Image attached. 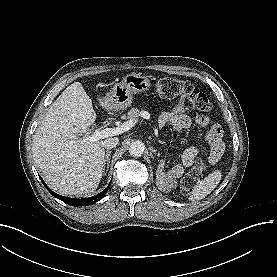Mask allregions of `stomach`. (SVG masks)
<instances>
[{
    "label": "stomach",
    "mask_w": 277,
    "mask_h": 277,
    "mask_svg": "<svg viewBox=\"0 0 277 277\" xmlns=\"http://www.w3.org/2000/svg\"><path fill=\"white\" fill-rule=\"evenodd\" d=\"M151 86V81L147 76L129 73L113 86L105 98L112 104L114 110H123L132 104L133 94L148 91Z\"/></svg>",
    "instance_id": "1"
}]
</instances>
